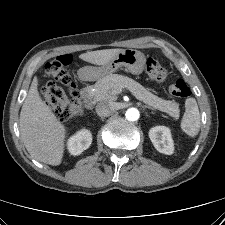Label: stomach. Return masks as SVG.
<instances>
[{
  "label": "stomach",
  "instance_id": "0dacf381",
  "mask_svg": "<svg viewBox=\"0 0 225 225\" xmlns=\"http://www.w3.org/2000/svg\"><path fill=\"white\" fill-rule=\"evenodd\" d=\"M146 63L145 55L135 49H124L119 52L110 62L101 67H85L82 71V77L87 80H96L106 77L124 68L133 75H139L143 72Z\"/></svg>",
  "mask_w": 225,
  "mask_h": 225
}]
</instances>
